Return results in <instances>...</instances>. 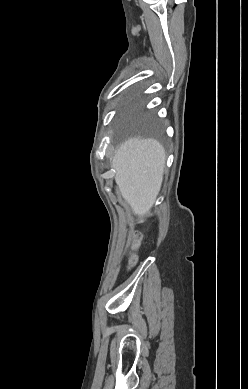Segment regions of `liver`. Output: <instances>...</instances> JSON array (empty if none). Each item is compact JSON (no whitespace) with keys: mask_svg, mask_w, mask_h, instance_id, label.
I'll use <instances>...</instances> for the list:
<instances>
[{"mask_svg":"<svg viewBox=\"0 0 248 389\" xmlns=\"http://www.w3.org/2000/svg\"><path fill=\"white\" fill-rule=\"evenodd\" d=\"M166 154L155 139L133 137L124 141L112 159L115 182L133 213L149 214L159 194Z\"/></svg>","mask_w":248,"mask_h":389,"instance_id":"1","label":"liver"}]
</instances>
